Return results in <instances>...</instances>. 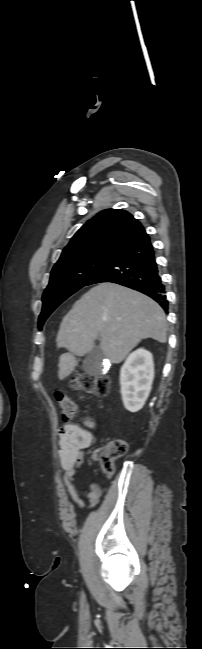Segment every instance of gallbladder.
<instances>
[{"label":"gallbladder","instance_id":"bac80fb5","mask_svg":"<svg viewBox=\"0 0 202 649\" xmlns=\"http://www.w3.org/2000/svg\"><path fill=\"white\" fill-rule=\"evenodd\" d=\"M104 354L99 345H95L93 349L88 352L83 360L82 368L89 375H99L102 372V362Z\"/></svg>","mask_w":202,"mask_h":649}]
</instances>
